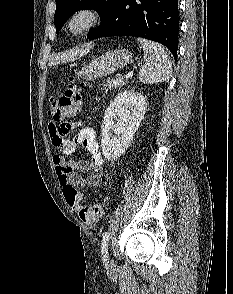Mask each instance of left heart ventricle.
Segmentation results:
<instances>
[{"mask_svg": "<svg viewBox=\"0 0 233 294\" xmlns=\"http://www.w3.org/2000/svg\"><path fill=\"white\" fill-rule=\"evenodd\" d=\"M82 25H83V21H77V22L75 23V27H76V28H80Z\"/></svg>", "mask_w": 233, "mask_h": 294, "instance_id": "obj_1", "label": "left heart ventricle"}]
</instances>
